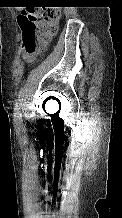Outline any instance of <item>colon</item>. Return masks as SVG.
<instances>
[{
    "label": "colon",
    "mask_w": 122,
    "mask_h": 218,
    "mask_svg": "<svg viewBox=\"0 0 122 218\" xmlns=\"http://www.w3.org/2000/svg\"><path fill=\"white\" fill-rule=\"evenodd\" d=\"M60 11L55 7H35L20 15L23 31V50L31 60L57 32Z\"/></svg>",
    "instance_id": "obj_1"
}]
</instances>
